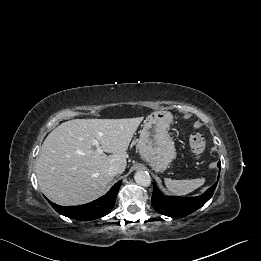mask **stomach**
<instances>
[{
    "mask_svg": "<svg viewBox=\"0 0 261 261\" xmlns=\"http://www.w3.org/2000/svg\"><path fill=\"white\" fill-rule=\"evenodd\" d=\"M172 115L168 111H155L144 121L138 141L139 153L155 170L163 171L176 156L174 142L168 134Z\"/></svg>",
    "mask_w": 261,
    "mask_h": 261,
    "instance_id": "1",
    "label": "stomach"
}]
</instances>
